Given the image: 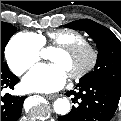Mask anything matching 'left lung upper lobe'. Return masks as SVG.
<instances>
[{
	"label": "left lung upper lobe",
	"mask_w": 121,
	"mask_h": 121,
	"mask_svg": "<svg viewBox=\"0 0 121 121\" xmlns=\"http://www.w3.org/2000/svg\"><path fill=\"white\" fill-rule=\"evenodd\" d=\"M65 27L86 31L99 50L94 71L84 75L80 82L104 81L121 89V42L106 27L82 19L66 24Z\"/></svg>",
	"instance_id": "left-lung-upper-lobe-1"
}]
</instances>
